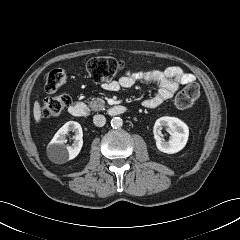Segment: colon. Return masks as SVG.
Returning a JSON list of instances; mask_svg holds the SVG:
<instances>
[{"label": "colon", "instance_id": "obj_1", "mask_svg": "<svg viewBox=\"0 0 240 240\" xmlns=\"http://www.w3.org/2000/svg\"><path fill=\"white\" fill-rule=\"evenodd\" d=\"M125 68V64L111 57L93 58L87 63V73L94 82H110ZM68 79L66 73L61 69L52 70L47 76L45 88L48 92L66 88ZM200 97V89L197 84L187 85L176 97V105L180 109H189ZM70 98L67 94L49 97L43 104L42 116L52 118L59 115L69 104Z\"/></svg>", "mask_w": 240, "mask_h": 240}]
</instances>
